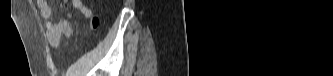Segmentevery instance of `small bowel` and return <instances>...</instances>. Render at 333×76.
<instances>
[{
  "mask_svg": "<svg viewBox=\"0 0 333 76\" xmlns=\"http://www.w3.org/2000/svg\"><path fill=\"white\" fill-rule=\"evenodd\" d=\"M40 15L45 20L47 41L51 48H58L63 38L71 37L73 33L70 22L62 17L52 19V7L46 0L37 1ZM74 9L79 11L85 18L90 20V28H97L99 19L93 15L92 10L82 0H72Z\"/></svg>",
  "mask_w": 333,
  "mask_h": 76,
  "instance_id": "1",
  "label": "small bowel"
}]
</instances>
